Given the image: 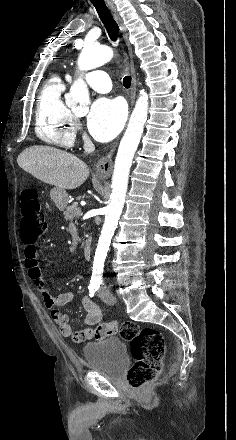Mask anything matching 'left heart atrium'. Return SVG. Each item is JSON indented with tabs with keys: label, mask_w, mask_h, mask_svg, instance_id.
<instances>
[{
	"label": "left heart atrium",
	"mask_w": 236,
	"mask_h": 440,
	"mask_svg": "<svg viewBox=\"0 0 236 440\" xmlns=\"http://www.w3.org/2000/svg\"><path fill=\"white\" fill-rule=\"evenodd\" d=\"M125 118L126 110L121 100L100 97L93 102L89 111V132L100 142L110 141L122 129Z\"/></svg>",
	"instance_id": "obj_1"
}]
</instances>
